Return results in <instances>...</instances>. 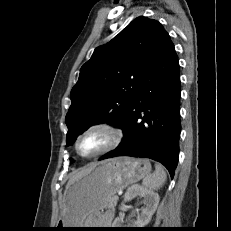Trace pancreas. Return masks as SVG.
<instances>
[{"label":"pancreas","instance_id":"pancreas-1","mask_svg":"<svg viewBox=\"0 0 231 231\" xmlns=\"http://www.w3.org/2000/svg\"><path fill=\"white\" fill-rule=\"evenodd\" d=\"M116 204H117V199H115V196H113L109 201L108 207L109 208H114L116 206Z\"/></svg>","mask_w":231,"mask_h":231}]
</instances>
